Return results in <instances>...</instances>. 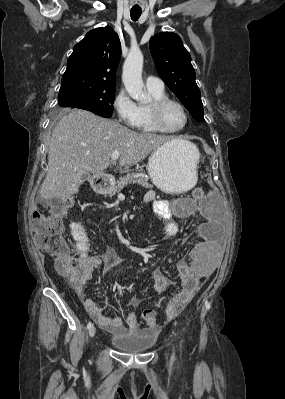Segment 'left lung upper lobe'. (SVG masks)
<instances>
[{"label": "left lung upper lobe", "instance_id": "left-lung-upper-lobe-1", "mask_svg": "<svg viewBox=\"0 0 285 399\" xmlns=\"http://www.w3.org/2000/svg\"><path fill=\"white\" fill-rule=\"evenodd\" d=\"M149 47L162 80L190 114L197 121L203 122L201 93L195 81L191 56L181 38L172 32L158 33L150 39Z\"/></svg>", "mask_w": 285, "mask_h": 399}]
</instances>
